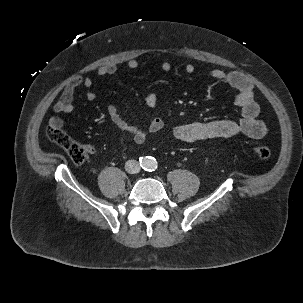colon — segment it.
<instances>
[{"label": "colon", "mask_w": 303, "mask_h": 303, "mask_svg": "<svg viewBox=\"0 0 303 303\" xmlns=\"http://www.w3.org/2000/svg\"><path fill=\"white\" fill-rule=\"evenodd\" d=\"M46 135L48 139L59 146L75 164H81L86 160V150L61 129V127L50 124L47 128ZM252 153L259 159H268L271 156V150L266 146H254Z\"/></svg>", "instance_id": "colon-1"}]
</instances>
